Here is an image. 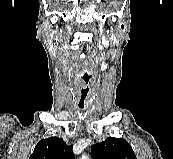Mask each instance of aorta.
<instances>
[{
	"instance_id": "1",
	"label": "aorta",
	"mask_w": 173,
	"mask_h": 159,
	"mask_svg": "<svg viewBox=\"0 0 173 159\" xmlns=\"http://www.w3.org/2000/svg\"><path fill=\"white\" fill-rule=\"evenodd\" d=\"M81 159H89L87 156L83 155Z\"/></svg>"
}]
</instances>
